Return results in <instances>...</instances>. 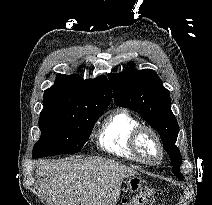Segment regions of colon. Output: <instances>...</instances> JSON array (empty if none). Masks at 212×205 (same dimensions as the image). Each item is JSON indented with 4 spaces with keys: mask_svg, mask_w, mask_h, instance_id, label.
Instances as JSON below:
<instances>
[{
    "mask_svg": "<svg viewBox=\"0 0 212 205\" xmlns=\"http://www.w3.org/2000/svg\"><path fill=\"white\" fill-rule=\"evenodd\" d=\"M158 193L154 188H143L133 199L124 200L122 205H151Z\"/></svg>",
    "mask_w": 212,
    "mask_h": 205,
    "instance_id": "colon-1",
    "label": "colon"
}]
</instances>
